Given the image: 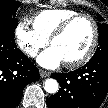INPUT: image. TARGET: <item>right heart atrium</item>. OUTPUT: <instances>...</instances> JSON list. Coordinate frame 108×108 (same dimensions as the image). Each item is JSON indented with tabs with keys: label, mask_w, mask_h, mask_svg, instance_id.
<instances>
[{
	"label": "right heart atrium",
	"mask_w": 108,
	"mask_h": 108,
	"mask_svg": "<svg viewBox=\"0 0 108 108\" xmlns=\"http://www.w3.org/2000/svg\"><path fill=\"white\" fill-rule=\"evenodd\" d=\"M15 39L22 52L30 57H34L48 43L47 38L24 20L18 22L15 27Z\"/></svg>",
	"instance_id": "right-heart-atrium-1"
}]
</instances>
